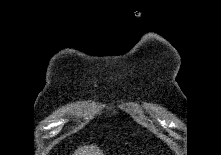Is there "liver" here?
Wrapping results in <instances>:
<instances>
[{
	"label": "liver",
	"mask_w": 221,
	"mask_h": 155,
	"mask_svg": "<svg viewBox=\"0 0 221 155\" xmlns=\"http://www.w3.org/2000/svg\"><path fill=\"white\" fill-rule=\"evenodd\" d=\"M73 155H102V151L95 145L78 148Z\"/></svg>",
	"instance_id": "obj_1"
}]
</instances>
